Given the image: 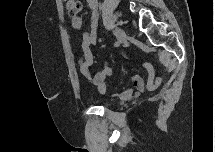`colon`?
Masks as SVG:
<instances>
[{"mask_svg":"<svg viewBox=\"0 0 215 152\" xmlns=\"http://www.w3.org/2000/svg\"><path fill=\"white\" fill-rule=\"evenodd\" d=\"M65 6L69 14L75 15L79 12L81 4L77 0H66Z\"/></svg>","mask_w":215,"mask_h":152,"instance_id":"5ec220e1","label":"colon"}]
</instances>
